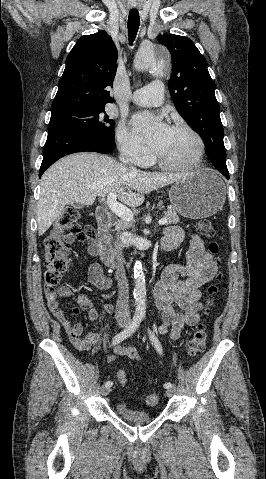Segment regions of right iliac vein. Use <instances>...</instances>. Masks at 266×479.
<instances>
[{
    "label": "right iliac vein",
    "mask_w": 266,
    "mask_h": 479,
    "mask_svg": "<svg viewBox=\"0 0 266 479\" xmlns=\"http://www.w3.org/2000/svg\"><path fill=\"white\" fill-rule=\"evenodd\" d=\"M120 326L123 327V326H125V324L122 323V324H120ZM110 391H111V389H110V387H108V386H102V387H101V393H102V395H104V396L108 395V394L110 393Z\"/></svg>",
    "instance_id": "1"
}]
</instances>
